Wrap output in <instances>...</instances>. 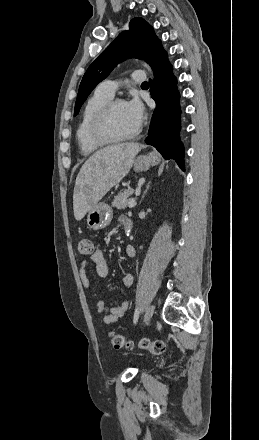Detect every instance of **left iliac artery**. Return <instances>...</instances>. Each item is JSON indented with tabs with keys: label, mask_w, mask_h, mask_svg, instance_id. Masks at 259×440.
I'll use <instances>...</instances> for the list:
<instances>
[{
	"label": "left iliac artery",
	"mask_w": 259,
	"mask_h": 440,
	"mask_svg": "<svg viewBox=\"0 0 259 440\" xmlns=\"http://www.w3.org/2000/svg\"><path fill=\"white\" fill-rule=\"evenodd\" d=\"M139 318V309L137 308L134 313V324L137 322Z\"/></svg>",
	"instance_id": "44dca946"
}]
</instances>
